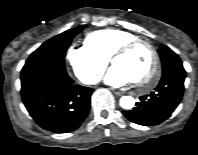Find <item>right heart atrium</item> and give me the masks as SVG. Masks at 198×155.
<instances>
[{"label": "right heart atrium", "instance_id": "1", "mask_svg": "<svg viewBox=\"0 0 198 155\" xmlns=\"http://www.w3.org/2000/svg\"><path fill=\"white\" fill-rule=\"evenodd\" d=\"M66 60L73 75L85 84L96 83L108 64V59L87 45H71L67 50Z\"/></svg>", "mask_w": 198, "mask_h": 155}]
</instances>
